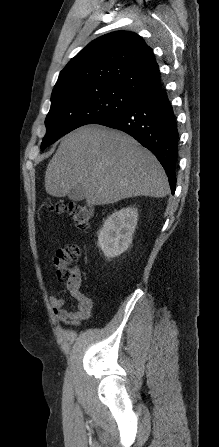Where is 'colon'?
Here are the masks:
<instances>
[{"label":"colon","mask_w":219,"mask_h":447,"mask_svg":"<svg viewBox=\"0 0 219 447\" xmlns=\"http://www.w3.org/2000/svg\"><path fill=\"white\" fill-rule=\"evenodd\" d=\"M49 210L57 214L66 213L77 228H87L93 218L91 207L74 202H60L50 206ZM81 254L77 244H67L57 250L53 264L57 271V276L67 284L76 285L80 278L79 270L72 266Z\"/></svg>","instance_id":"1"}]
</instances>
